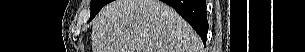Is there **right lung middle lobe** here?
Returning <instances> with one entry per match:
<instances>
[{
  "label": "right lung middle lobe",
  "instance_id": "1",
  "mask_svg": "<svg viewBox=\"0 0 305 52\" xmlns=\"http://www.w3.org/2000/svg\"><path fill=\"white\" fill-rule=\"evenodd\" d=\"M109 2L110 0H91L90 20H92L95 17V15L101 10V8Z\"/></svg>",
  "mask_w": 305,
  "mask_h": 52
}]
</instances>
